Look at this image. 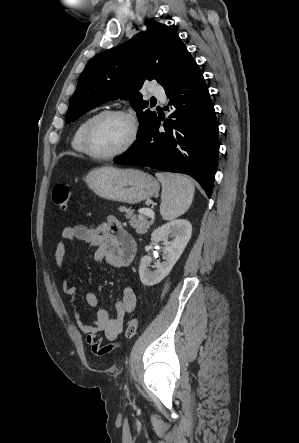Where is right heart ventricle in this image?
Instances as JSON below:
<instances>
[{"label": "right heart ventricle", "instance_id": "right-heart-ventricle-1", "mask_svg": "<svg viewBox=\"0 0 299 443\" xmlns=\"http://www.w3.org/2000/svg\"><path fill=\"white\" fill-rule=\"evenodd\" d=\"M91 117L92 116H88V117L84 118L79 123V125L77 126V128L74 132V135L72 137L71 145H72L73 149L79 153L86 154L85 149L83 147V143H82V135H83L84 127Z\"/></svg>", "mask_w": 299, "mask_h": 443}]
</instances>
